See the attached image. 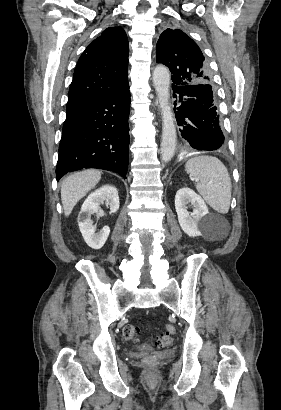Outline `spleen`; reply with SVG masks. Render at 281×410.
I'll return each instance as SVG.
<instances>
[{
	"label": "spleen",
	"instance_id": "3e777b00",
	"mask_svg": "<svg viewBox=\"0 0 281 410\" xmlns=\"http://www.w3.org/2000/svg\"><path fill=\"white\" fill-rule=\"evenodd\" d=\"M185 171L204 200L215 211L226 214L231 202V179L227 168L216 157L197 156L189 159Z\"/></svg>",
	"mask_w": 281,
	"mask_h": 410
}]
</instances>
